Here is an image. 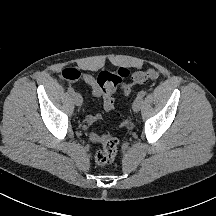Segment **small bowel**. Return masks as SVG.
Listing matches in <instances>:
<instances>
[{
	"instance_id": "small-bowel-1",
	"label": "small bowel",
	"mask_w": 216,
	"mask_h": 216,
	"mask_svg": "<svg viewBox=\"0 0 216 216\" xmlns=\"http://www.w3.org/2000/svg\"><path fill=\"white\" fill-rule=\"evenodd\" d=\"M80 79L87 85H89L92 89V94L97 97V98H103L104 100V97H103V93H102V90L100 89L96 79L88 74V73H80ZM104 108L105 110L107 111H110L111 109L107 108L106 105L104 104ZM100 119V115L97 114V113H91V114H88L86 116V124L87 125H93L95 122H97L98 120ZM105 137V135H102L98 132H91L90 135H89V138L91 141L93 142H102L103 138Z\"/></svg>"
}]
</instances>
